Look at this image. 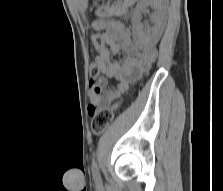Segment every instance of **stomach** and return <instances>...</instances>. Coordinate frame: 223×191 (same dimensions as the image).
I'll return each mask as SVG.
<instances>
[{
  "mask_svg": "<svg viewBox=\"0 0 223 191\" xmlns=\"http://www.w3.org/2000/svg\"><path fill=\"white\" fill-rule=\"evenodd\" d=\"M80 12L84 13L88 6V0H75Z\"/></svg>",
  "mask_w": 223,
  "mask_h": 191,
  "instance_id": "obj_1",
  "label": "stomach"
}]
</instances>
